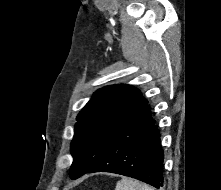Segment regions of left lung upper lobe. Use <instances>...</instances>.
Returning <instances> with one entry per match:
<instances>
[{
  "label": "left lung upper lobe",
  "mask_w": 221,
  "mask_h": 190,
  "mask_svg": "<svg viewBox=\"0 0 221 190\" xmlns=\"http://www.w3.org/2000/svg\"><path fill=\"white\" fill-rule=\"evenodd\" d=\"M147 104L140 90L130 85L97 90L76 118L70 178L87 173L119 129Z\"/></svg>",
  "instance_id": "5c2ea615"
}]
</instances>
